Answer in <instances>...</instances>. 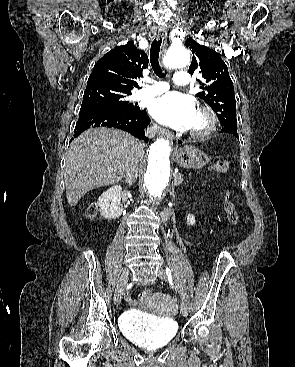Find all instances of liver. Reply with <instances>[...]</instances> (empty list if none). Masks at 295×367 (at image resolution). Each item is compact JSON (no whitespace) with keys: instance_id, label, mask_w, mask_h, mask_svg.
Masks as SVG:
<instances>
[{"instance_id":"liver-1","label":"liver","mask_w":295,"mask_h":367,"mask_svg":"<svg viewBox=\"0 0 295 367\" xmlns=\"http://www.w3.org/2000/svg\"><path fill=\"white\" fill-rule=\"evenodd\" d=\"M142 144L130 134L106 128L83 132L69 147L64 180L66 197L75 206L90 190L121 181L132 163L141 161Z\"/></svg>"}]
</instances>
